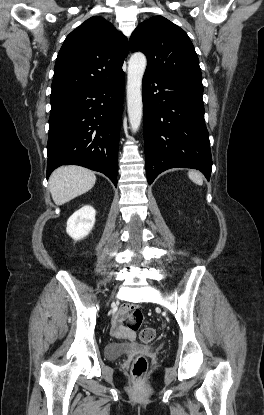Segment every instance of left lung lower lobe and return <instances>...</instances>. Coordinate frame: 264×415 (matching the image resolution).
I'll list each match as a JSON object with an SVG mask.
<instances>
[{
    "mask_svg": "<svg viewBox=\"0 0 264 415\" xmlns=\"http://www.w3.org/2000/svg\"><path fill=\"white\" fill-rule=\"evenodd\" d=\"M202 95V85L144 74V147L149 184L161 172L175 167L198 169L210 179L212 157Z\"/></svg>",
    "mask_w": 264,
    "mask_h": 415,
    "instance_id": "1",
    "label": "left lung lower lobe"
}]
</instances>
